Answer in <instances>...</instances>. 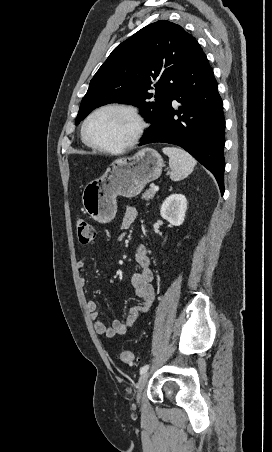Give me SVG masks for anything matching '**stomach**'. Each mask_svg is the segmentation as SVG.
<instances>
[{
    "mask_svg": "<svg viewBox=\"0 0 272 452\" xmlns=\"http://www.w3.org/2000/svg\"><path fill=\"white\" fill-rule=\"evenodd\" d=\"M162 167L161 155L152 148L116 159L103 176L84 187L82 203L85 212L99 223L111 222L117 212V196H137L146 184L159 178Z\"/></svg>",
    "mask_w": 272,
    "mask_h": 452,
    "instance_id": "0dacf381",
    "label": "stomach"
}]
</instances>
